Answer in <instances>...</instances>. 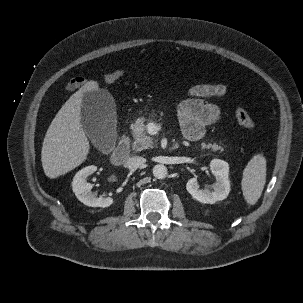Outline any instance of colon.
<instances>
[{"mask_svg": "<svg viewBox=\"0 0 303 303\" xmlns=\"http://www.w3.org/2000/svg\"><path fill=\"white\" fill-rule=\"evenodd\" d=\"M124 74L123 70H116L111 73H108L104 76V82L106 84H113L118 79H120ZM233 114L237 122L248 130L256 129L255 121L250 117V115L240 106H236L233 110Z\"/></svg>", "mask_w": 303, "mask_h": 303, "instance_id": "5ec220e1", "label": "colon"}]
</instances>
